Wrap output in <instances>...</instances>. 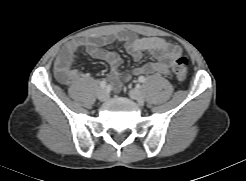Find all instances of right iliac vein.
I'll return each mask as SVG.
<instances>
[{
	"mask_svg": "<svg viewBox=\"0 0 246 181\" xmlns=\"http://www.w3.org/2000/svg\"><path fill=\"white\" fill-rule=\"evenodd\" d=\"M108 97V92L105 88H101L98 90L97 92V98L100 100V101H104L106 100Z\"/></svg>",
	"mask_w": 246,
	"mask_h": 181,
	"instance_id": "63e3f726",
	"label": "right iliac vein"
}]
</instances>
